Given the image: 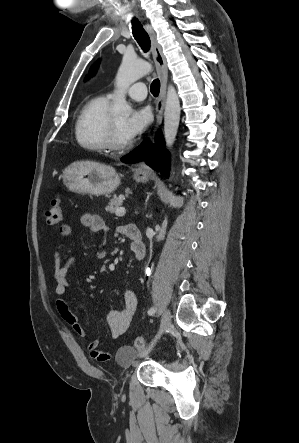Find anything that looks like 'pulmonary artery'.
Instances as JSON below:
<instances>
[{
	"instance_id": "1",
	"label": "pulmonary artery",
	"mask_w": 299,
	"mask_h": 443,
	"mask_svg": "<svg viewBox=\"0 0 299 443\" xmlns=\"http://www.w3.org/2000/svg\"><path fill=\"white\" fill-rule=\"evenodd\" d=\"M127 95L136 101L144 100L147 95L146 85L142 82H138V83L131 85L127 89ZM113 96H114V94L112 92L108 94V97H110V98Z\"/></svg>"
}]
</instances>
